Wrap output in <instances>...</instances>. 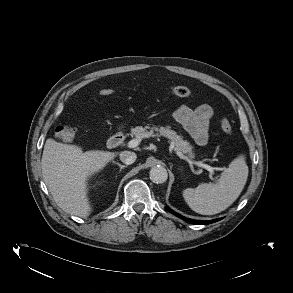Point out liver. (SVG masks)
<instances>
[{"label": "liver", "mask_w": 293, "mask_h": 293, "mask_svg": "<svg viewBox=\"0 0 293 293\" xmlns=\"http://www.w3.org/2000/svg\"><path fill=\"white\" fill-rule=\"evenodd\" d=\"M115 153L83 152L77 145L48 138L41 159L42 175L53 199L66 213L87 217L92 211L88 198L89 178L113 160Z\"/></svg>", "instance_id": "6515ba94"}]
</instances>
